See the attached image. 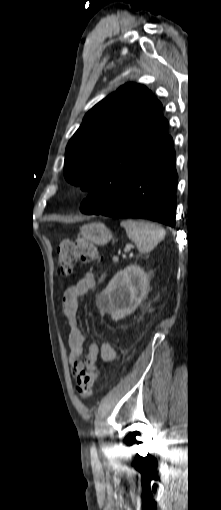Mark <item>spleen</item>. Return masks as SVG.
I'll return each mask as SVG.
<instances>
[{
	"mask_svg": "<svg viewBox=\"0 0 221 510\" xmlns=\"http://www.w3.org/2000/svg\"><path fill=\"white\" fill-rule=\"evenodd\" d=\"M121 226L137 246L140 253H148L165 237V230L148 221L127 219Z\"/></svg>",
	"mask_w": 221,
	"mask_h": 510,
	"instance_id": "obj_1",
	"label": "spleen"
}]
</instances>
